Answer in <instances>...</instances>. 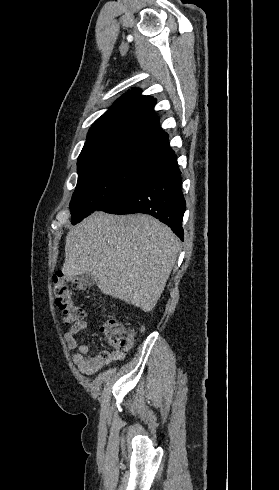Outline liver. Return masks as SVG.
Wrapping results in <instances>:
<instances>
[{
  "instance_id": "obj_1",
  "label": "liver",
  "mask_w": 279,
  "mask_h": 490,
  "mask_svg": "<svg viewBox=\"0 0 279 490\" xmlns=\"http://www.w3.org/2000/svg\"><path fill=\"white\" fill-rule=\"evenodd\" d=\"M179 240L152 216L94 212L66 238L65 278L93 276L99 290L143 312L155 308L178 256Z\"/></svg>"
}]
</instances>
